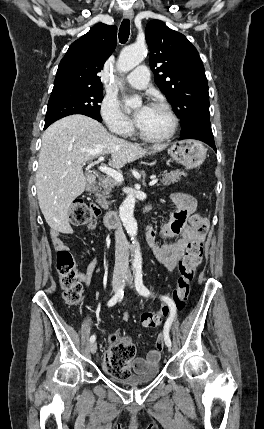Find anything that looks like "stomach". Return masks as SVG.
Here are the masks:
<instances>
[{
    "label": "stomach",
    "instance_id": "stomach-1",
    "mask_svg": "<svg viewBox=\"0 0 264 429\" xmlns=\"http://www.w3.org/2000/svg\"><path fill=\"white\" fill-rule=\"evenodd\" d=\"M168 153L176 162L187 168H195L206 158V148L196 140H182L174 142Z\"/></svg>",
    "mask_w": 264,
    "mask_h": 429
}]
</instances>
